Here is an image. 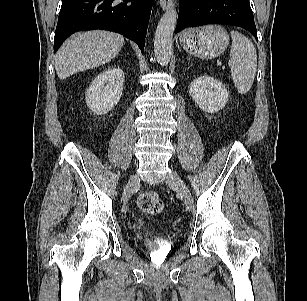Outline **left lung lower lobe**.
<instances>
[{
	"instance_id": "left-lung-lower-lobe-1",
	"label": "left lung lower lobe",
	"mask_w": 307,
	"mask_h": 301,
	"mask_svg": "<svg viewBox=\"0 0 307 301\" xmlns=\"http://www.w3.org/2000/svg\"><path fill=\"white\" fill-rule=\"evenodd\" d=\"M205 24L239 26L258 40L249 0H181L176 32Z\"/></svg>"
}]
</instances>
